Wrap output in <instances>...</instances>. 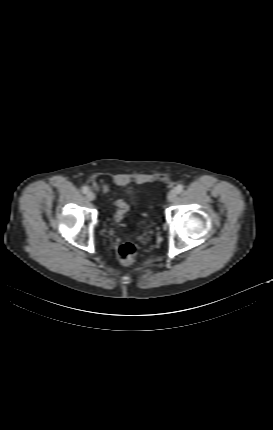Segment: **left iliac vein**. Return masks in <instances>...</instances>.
Segmentation results:
<instances>
[{
  "label": "left iliac vein",
  "instance_id": "left-iliac-vein-1",
  "mask_svg": "<svg viewBox=\"0 0 273 430\" xmlns=\"http://www.w3.org/2000/svg\"><path fill=\"white\" fill-rule=\"evenodd\" d=\"M176 191L172 190L168 194V201L173 202L176 199Z\"/></svg>",
  "mask_w": 273,
  "mask_h": 430
}]
</instances>
